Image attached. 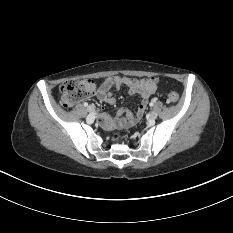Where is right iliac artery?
<instances>
[{"instance_id":"1","label":"right iliac artery","mask_w":233,"mask_h":233,"mask_svg":"<svg viewBox=\"0 0 233 233\" xmlns=\"http://www.w3.org/2000/svg\"><path fill=\"white\" fill-rule=\"evenodd\" d=\"M83 105L86 107V106H88V103H87V102H84V104H83Z\"/></svg>"}]
</instances>
